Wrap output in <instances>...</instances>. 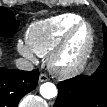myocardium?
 Segmentation results:
<instances>
[{
	"instance_id": "1",
	"label": "myocardium",
	"mask_w": 107,
	"mask_h": 107,
	"mask_svg": "<svg viewBox=\"0 0 107 107\" xmlns=\"http://www.w3.org/2000/svg\"><path fill=\"white\" fill-rule=\"evenodd\" d=\"M83 27L88 30V39L81 54L71 64H61V60L65 53L68 51L74 36ZM94 41V31L92 26L88 22L80 20L79 22L74 24L66 32L59 44L48 55L47 64L51 72L60 78H69L78 74L86 66L91 56L94 47Z\"/></svg>"
}]
</instances>
